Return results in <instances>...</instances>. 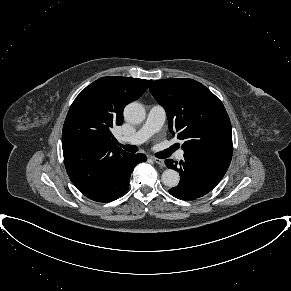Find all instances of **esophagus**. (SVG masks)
<instances>
[{
	"label": "esophagus",
	"instance_id": "obj_1",
	"mask_svg": "<svg viewBox=\"0 0 291 291\" xmlns=\"http://www.w3.org/2000/svg\"><path fill=\"white\" fill-rule=\"evenodd\" d=\"M151 159L158 165L160 166H164V160L163 159H159V158H156V157H151Z\"/></svg>",
	"mask_w": 291,
	"mask_h": 291
}]
</instances>
